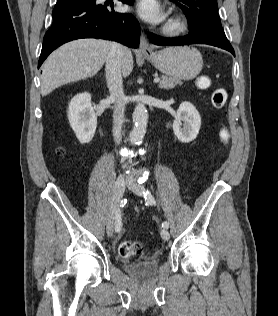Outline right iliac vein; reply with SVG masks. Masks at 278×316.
<instances>
[{"instance_id": "right-iliac-vein-1", "label": "right iliac vein", "mask_w": 278, "mask_h": 316, "mask_svg": "<svg viewBox=\"0 0 278 316\" xmlns=\"http://www.w3.org/2000/svg\"><path fill=\"white\" fill-rule=\"evenodd\" d=\"M124 186L125 179L123 176H119L114 185L111 207L106 222V231L109 237L113 235L115 214L123 195Z\"/></svg>"}]
</instances>
